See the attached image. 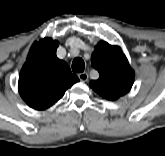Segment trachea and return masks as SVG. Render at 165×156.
Returning a JSON list of instances; mask_svg holds the SVG:
<instances>
[{
	"mask_svg": "<svg viewBox=\"0 0 165 156\" xmlns=\"http://www.w3.org/2000/svg\"><path fill=\"white\" fill-rule=\"evenodd\" d=\"M85 69V63L82 58L77 57L72 62V71L76 73H81Z\"/></svg>",
	"mask_w": 165,
	"mask_h": 156,
	"instance_id": "1",
	"label": "trachea"
}]
</instances>
